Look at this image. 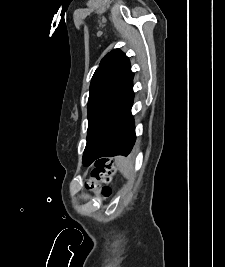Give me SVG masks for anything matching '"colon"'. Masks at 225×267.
I'll list each match as a JSON object with an SVG mask.
<instances>
[{
    "label": "colon",
    "instance_id": "1",
    "mask_svg": "<svg viewBox=\"0 0 225 267\" xmlns=\"http://www.w3.org/2000/svg\"><path fill=\"white\" fill-rule=\"evenodd\" d=\"M115 170L114 162L111 159H99L95 164L90 179L86 183V187L95 191L102 199L110 197L112 194L110 183Z\"/></svg>",
    "mask_w": 225,
    "mask_h": 267
}]
</instances>
